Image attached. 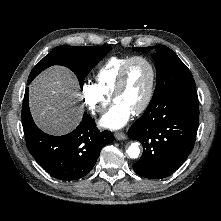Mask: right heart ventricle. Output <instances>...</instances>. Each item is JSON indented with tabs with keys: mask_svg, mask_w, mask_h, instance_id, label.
Returning <instances> with one entry per match:
<instances>
[{
	"mask_svg": "<svg viewBox=\"0 0 221 221\" xmlns=\"http://www.w3.org/2000/svg\"><path fill=\"white\" fill-rule=\"evenodd\" d=\"M131 56H114L109 58L95 75L96 85L107 97H112L120 70Z\"/></svg>",
	"mask_w": 221,
	"mask_h": 221,
	"instance_id": "right-heart-ventricle-1",
	"label": "right heart ventricle"
}]
</instances>
